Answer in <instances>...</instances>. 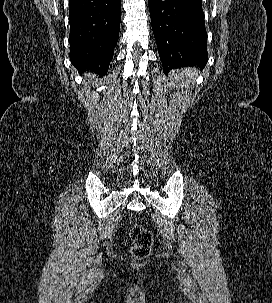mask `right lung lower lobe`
Wrapping results in <instances>:
<instances>
[{
	"instance_id": "obj_1",
	"label": "right lung lower lobe",
	"mask_w": 272,
	"mask_h": 303,
	"mask_svg": "<svg viewBox=\"0 0 272 303\" xmlns=\"http://www.w3.org/2000/svg\"><path fill=\"white\" fill-rule=\"evenodd\" d=\"M70 60L79 70L105 75L121 22V0H70Z\"/></svg>"
}]
</instances>
